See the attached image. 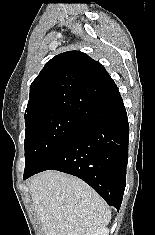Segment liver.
I'll return each mask as SVG.
<instances>
[{
  "instance_id": "obj_1",
  "label": "liver",
  "mask_w": 155,
  "mask_h": 235,
  "mask_svg": "<svg viewBox=\"0 0 155 235\" xmlns=\"http://www.w3.org/2000/svg\"><path fill=\"white\" fill-rule=\"evenodd\" d=\"M29 187L45 235H94L111 219L104 200L77 177L46 171Z\"/></svg>"
}]
</instances>
